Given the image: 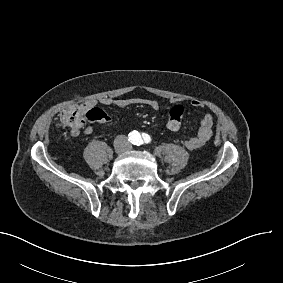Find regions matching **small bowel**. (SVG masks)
I'll use <instances>...</instances> for the list:
<instances>
[{
  "label": "small bowel",
  "instance_id": "obj_1",
  "mask_svg": "<svg viewBox=\"0 0 283 283\" xmlns=\"http://www.w3.org/2000/svg\"><path fill=\"white\" fill-rule=\"evenodd\" d=\"M97 105H102L105 107H117V108H127L131 106H144L152 110H157L160 107V103L156 99L151 98H143V97H131V98H111V97H104L99 100L89 99L86 100L82 105L81 108L86 111L85 112V119L87 121H99V122H107L110 120L107 114H105L102 110L96 108ZM176 105L170 112V117L174 113V109L177 107ZM192 106L195 109L203 110L204 105L198 101L193 100ZM169 117V118H170ZM169 126V120L167 122V127ZM181 126V121H180ZM213 126H214V119L210 113H206L200 120L199 130L196 135L187 138L184 141V144L187 149L189 150H197L203 147L212 137L213 135ZM93 127L87 126L85 128L86 134L93 133Z\"/></svg>",
  "mask_w": 283,
  "mask_h": 283
}]
</instances>
